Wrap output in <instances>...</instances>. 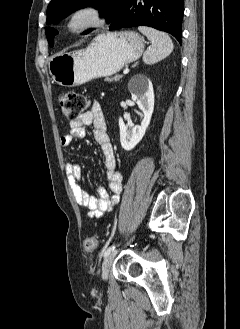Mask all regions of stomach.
Listing matches in <instances>:
<instances>
[{
  "mask_svg": "<svg viewBox=\"0 0 240 329\" xmlns=\"http://www.w3.org/2000/svg\"><path fill=\"white\" fill-rule=\"evenodd\" d=\"M143 50L144 40L134 31L103 33L85 49L53 55L48 68L57 84L75 87L119 72Z\"/></svg>",
  "mask_w": 240,
  "mask_h": 329,
  "instance_id": "0dacf381",
  "label": "stomach"
}]
</instances>
